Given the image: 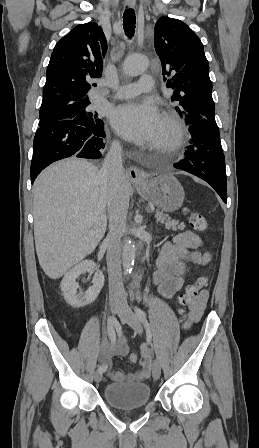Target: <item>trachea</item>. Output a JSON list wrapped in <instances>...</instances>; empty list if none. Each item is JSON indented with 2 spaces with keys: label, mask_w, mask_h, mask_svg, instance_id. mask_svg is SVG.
Masks as SVG:
<instances>
[{
  "label": "trachea",
  "mask_w": 259,
  "mask_h": 448,
  "mask_svg": "<svg viewBox=\"0 0 259 448\" xmlns=\"http://www.w3.org/2000/svg\"><path fill=\"white\" fill-rule=\"evenodd\" d=\"M136 16L131 8H127L123 15V27L127 37H133L135 32Z\"/></svg>",
  "instance_id": "obj_1"
}]
</instances>
